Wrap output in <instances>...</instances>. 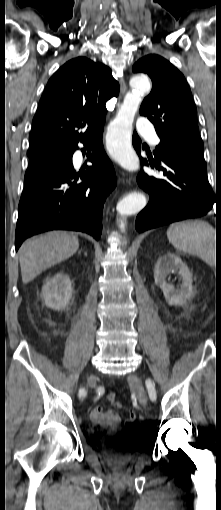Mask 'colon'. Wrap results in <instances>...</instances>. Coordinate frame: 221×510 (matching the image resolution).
<instances>
[{
  "instance_id": "colon-1",
  "label": "colon",
  "mask_w": 221,
  "mask_h": 510,
  "mask_svg": "<svg viewBox=\"0 0 221 510\" xmlns=\"http://www.w3.org/2000/svg\"><path fill=\"white\" fill-rule=\"evenodd\" d=\"M108 400L111 401L116 407H120V403L116 401V397L114 393L108 394ZM135 420L134 412H129L127 418L125 419V424H130Z\"/></svg>"
}]
</instances>
